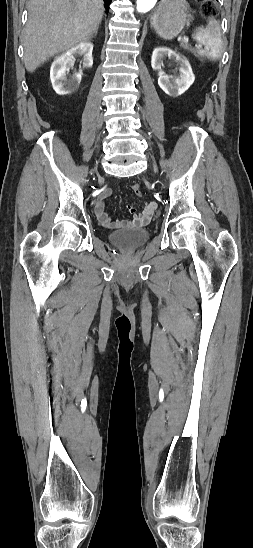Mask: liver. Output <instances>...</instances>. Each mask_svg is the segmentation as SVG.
Returning a JSON list of instances; mask_svg holds the SVG:
<instances>
[{"label": "liver", "instance_id": "6515ba94", "mask_svg": "<svg viewBox=\"0 0 253 548\" xmlns=\"http://www.w3.org/2000/svg\"><path fill=\"white\" fill-rule=\"evenodd\" d=\"M104 13L102 0H30L24 29V63L34 72L50 57L88 41Z\"/></svg>", "mask_w": 253, "mask_h": 548}]
</instances>
